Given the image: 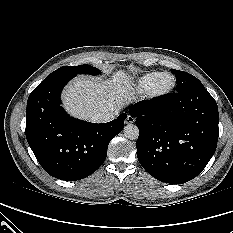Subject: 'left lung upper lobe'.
<instances>
[{
	"label": "left lung upper lobe",
	"instance_id": "1",
	"mask_svg": "<svg viewBox=\"0 0 233 233\" xmlns=\"http://www.w3.org/2000/svg\"><path fill=\"white\" fill-rule=\"evenodd\" d=\"M171 72L175 74L177 86L176 91H184L186 89L192 88V87H199L203 86L202 83L193 75L188 74L183 71L171 69Z\"/></svg>",
	"mask_w": 233,
	"mask_h": 233
}]
</instances>
